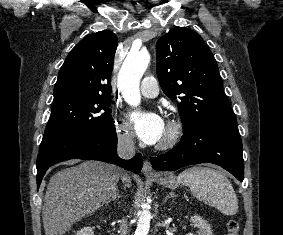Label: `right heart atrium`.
<instances>
[{"label":"right heart atrium","instance_id":"d8ad5b80","mask_svg":"<svg viewBox=\"0 0 283 235\" xmlns=\"http://www.w3.org/2000/svg\"><path fill=\"white\" fill-rule=\"evenodd\" d=\"M115 125L119 139L123 143H127V144L132 143L135 137L132 126L128 122L122 119L117 120Z\"/></svg>","mask_w":283,"mask_h":235}]
</instances>
